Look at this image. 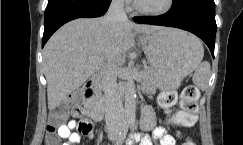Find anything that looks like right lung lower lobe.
<instances>
[{"label": "right lung lower lobe", "mask_w": 243, "mask_h": 145, "mask_svg": "<svg viewBox=\"0 0 243 145\" xmlns=\"http://www.w3.org/2000/svg\"><path fill=\"white\" fill-rule=\"evenodd\" d=\"M111 0H48L45 10L42 47L66 22L76 18L99 17L106 13Z\"/></svg>", "instance_id": "obj_1"}]
</instances>
